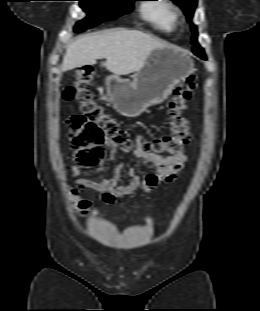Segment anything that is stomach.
Segmentation results:
<instances>
[{
	"label": "stomach",
	"instance_id": "obj_1",
	"mask_svg": "<svg viewBox=\"0 0 260 311\" xmlns=\"http://www.w3.org/2000/svg\"><path fill=\"white\" fill-rule=\"evenodd\" d=\"M194 71V61L183 49L170 45L157 48L131 81L117 74L108 76L107 95L117 112L136 117L149 106L167 99L174 87Z\"/></svg>",
	"mask_w": 260,
	"mask_h": 311
}]
</instances>
